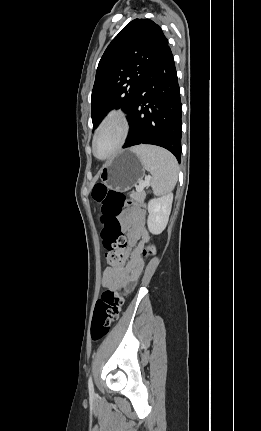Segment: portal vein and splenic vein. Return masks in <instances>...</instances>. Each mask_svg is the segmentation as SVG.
<instances>
[{"instance_id":"obj_1","label":"portal vein and splenic vein","mask_w":261,"mask_h":431,"mask_svg":"<svg viewBox=\"0 0 261 431\" xmlns=\"http://www.w3.org/2000/svg\"><path fill=\"white\" fill-rule=\"evenodd\" d=\"M150 182V177H147L143 183H141L136 189L142 191Z\"/></svg>"}]
</instances>
